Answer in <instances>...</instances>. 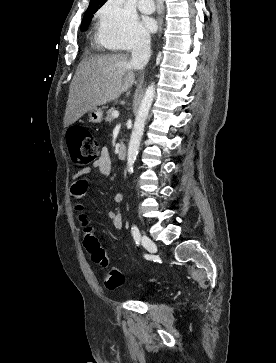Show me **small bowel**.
Masks as SVG:
<instances>
[{"label":"small bowel","instance_id":"1","mask_svg":"<svg viewBox=\"0 0 276 363\" xmlns=\"http://www.w3.org/2000/svg\"><path fill=\"white\" fill-rule=\"evenodd\" d=\"M97 169L102 175L108 176L112 171V161L109 152L104 148L98 157V159L93 163L92 167H85L77 171L72 177V184L69 189L71 198L76 202H81L87 194L89 183L86 179V175L89 174L92 169ZM124 197L121 193L115 194L113 202L116 205L115 210H108L106 212L107 217L112 221L113 226L117 230H121L123 227V220L121 217L119 205L122 203ZM80 206L78 205V210ZM81 217L85 216L81 214ZM84 237L88 234H93V229L90 226L84 227Z\"/></svg>","mask_w":276,"mask_h":363}]
</instances>
